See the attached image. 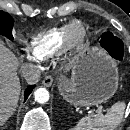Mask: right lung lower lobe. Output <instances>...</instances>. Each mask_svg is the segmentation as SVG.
<instances>
[{
  "label": "right lung lower lobe",
  "instance_id": "98d812e1",
  "mask_svg": "<svg viewBox=\"0 0 130 130\" xmlns=\"http://www.w3.org/2000/svg\"><path fill=\"white\" fill-rule=\"evenodd\" d=\"M35 87V85H30L24 93V101H26L27 97L30 95V93L32 92L33 88Z\"/></svg>",
  "mask_w": 130,
  "mask_h": 130
}]
</instances>
